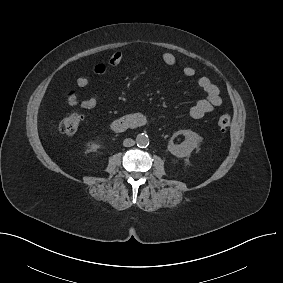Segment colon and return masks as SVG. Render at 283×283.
<instances>
[{
    "instance_id": "colon-1",
    "label": "colon",
    "mask_w": 283,
    "mask_h": 283,
    "mask_svg": "<svg viewBox=\"0 0 283 283\" xmlns=\"http://www.w3.org/2000/svg\"><path fill=\"white\" fill-rule=\"evenodd\" d=\"M82 116L78 113H71L63 117L58 124L59 130L66 134L74 133L81 124ZM231 124V116L227 113L220 115L218 125L222 129H227Z\"/></svg>"
}]
</instances>
